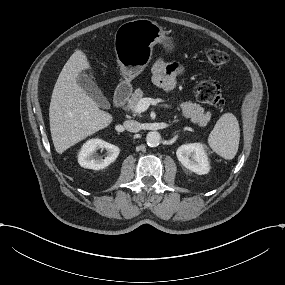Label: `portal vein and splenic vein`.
Listing matches in <instances>:
<instances>
[{"mask_svg": "<svg viewBox=\"0 0 285 285\" xmlns=\"http://www.w3.org/2000/svg\"><path fill=\"white\" fill-rule=\"evenodd\" d=\"M159 102V99H152V98H142L137 103L135 107V112L141 113L148 109L150 105H156Z\"/></svg>", "mask_w": 285, "mask_h": 285, "instance_id": "18ae733b", "label": "portal vein and splenic vein"}]
</instances>
